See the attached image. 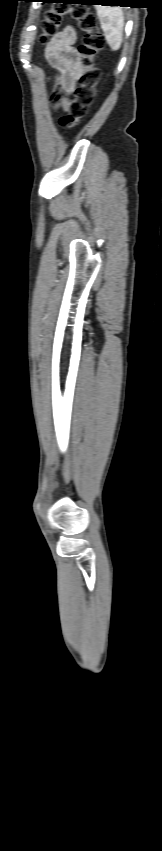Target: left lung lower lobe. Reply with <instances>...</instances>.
I'll list each match as a JSON object with an SVG mask.
<instances>
[{
  "label": "left lung lower lobe",
  "mask_w": 162,
  "mask_h": 851,
  "mask_svg": "<svg viewBox=\"0 0 162 851\" xmlns=\"http://www.w3.org/2000/svg\"><path fill=\"white\" fill-rule=\"evenodd\" d=\"M46 2H53V3H55V1H54V0H46ZM84 2H88V3H90V4H93V3H102V5H103V4H106V5H119V6H122V5H121V3H127L128 1H127V0H72L71 2H63V3H81V4H84Z\"/></svg>",
  "instance_id": "left-lung-lower-lobe-1"
}]
</instances>
